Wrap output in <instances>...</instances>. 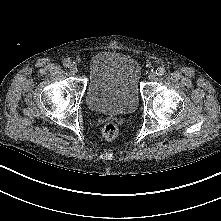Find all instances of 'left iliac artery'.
<instances>
[{
	"label": "left iliac artery",
	"mask_w": 221,
	"mask_h": 221,
	"mask_svg": "<svg viewBox=\"0 0 221 221\" xmlns=\"http://www.w3.org/2000/svg\"><path fill=\"white\" fill-rule=\"evenodd\" d=\"M164 73H165V69H164V68L158 67V68L156 69V74H157L158 76H162V75H164Z\"/></svg>",
	"instance_id": "1"
}]
</instances>
